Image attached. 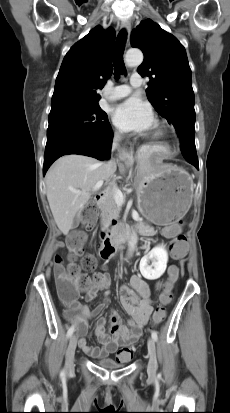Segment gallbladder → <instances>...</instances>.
<instances>
[{
    "label": "gallbladder",
    "instance_id": "1",
    "mask_svg": "<svg viewBox=\"0 0 230 413\" xmlns=\"http://www.w3.org/2000/svg\"><path fill=\"white\" fill-rule=\"evenodd\" d=\"M79 223V218L77 217V218H75V220H74V225H77Z\"/></svg>",
    "mask_w": 230,
    "mask_h": 413
}]
</instances>
